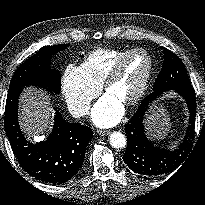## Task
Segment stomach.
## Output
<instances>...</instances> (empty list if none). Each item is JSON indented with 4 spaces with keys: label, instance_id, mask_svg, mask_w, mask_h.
Masks as SVG:
<instances>
[{
    "label": "stomach",
    "instance_id": "0dacf381",
    "mask_svg": "<svg viewBox=\"0 0 205 205\" xmlns=\"http://www.w3.org/2000/svg\"><path fill=\"white\" fill-rule=\"evenodd\" d=\"M144 123L151 140L163 139L170 129V119L164 105L160 102L152 104L145 116Z\"/></svg>",
    "mask_w": 205,
    "mask_h": 205
}]
</instances>
